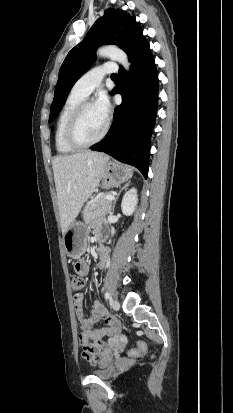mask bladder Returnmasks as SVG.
I'll return each mask as SVG.
<instances>
[{"label":"bladder","instance_id":"31cf9c89","mask_svg":"<svg viewBox=\"0 0 233 413\" xmlns=\"http://www.w3.org/2000/svg\"><path fill=\"white\" fill-rule=\"evenodd\" d=\"M115 372V367L112 363H108L101 368H98L92 372L93 376H96L101 379L110 378Z\"/></svg>","mask_w":233,"mask_h":413}]
</instances>
